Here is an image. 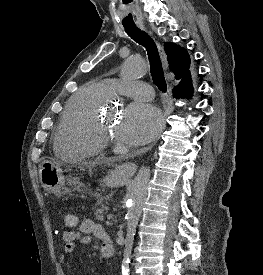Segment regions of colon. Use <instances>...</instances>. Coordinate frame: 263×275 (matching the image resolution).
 <instances>
[{
	"mask_svg": "<svg viewBox=\"0 0 263 275\" xmlns=\"http://www.w3.org/2000/svg\"><path fill=\"white\" fill-rule=\"evenodd\" d=\"M63 224L66 228H73L77 225V217L74 214L67 213L63 217Z\"/></svg>",
	"mask_w": 263,
	"mask_h": 275,
	"instance_id": "5ec220e1",
	"label": "colon"
}]
</instances>
